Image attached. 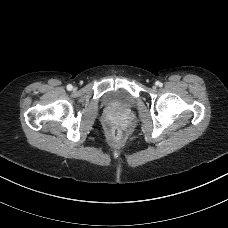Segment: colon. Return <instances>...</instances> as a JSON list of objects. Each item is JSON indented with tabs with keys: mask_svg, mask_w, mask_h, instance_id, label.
Instances as JSON below:
<instances>
[{
	"mask_svg": "<svg viewBox=\"0 0 228 228\" xmlns=\"http://www.w3.org/2000/svg\"><path fill=\"white\" fill-rule=\"evenodd\" d=\"M110 139L112 143H120L122 140V132L118 127H114L110 132Z\"/></svg>",
	"mask_w": 228,
	"mask_h": 228,
	"instance_id": "obj_1",
	"label": "colon"
}]
</instances>
